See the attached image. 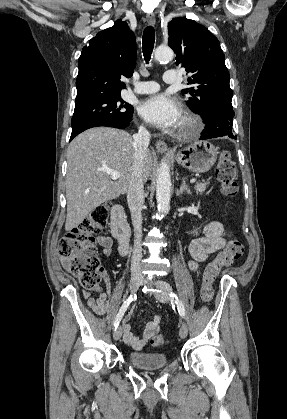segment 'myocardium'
Instances as JSON below:
<instances>
[{"label":"myocardium","instance_id":"1","mask_svg":"<svg viewBox=\"0 0 287 419\" xmlns=\"http://www.w3.org/2000/svg\"><path fill=\"white\" fill-rule=\"evenodd\" d=\"M200 129H201L200 120L194 115L186 114L184 115L181 121L178 135L180 137H187L190 135L197 134L200 131Z\"/></svg>","mask_w":287,"mask_h":419}]
</instances>
